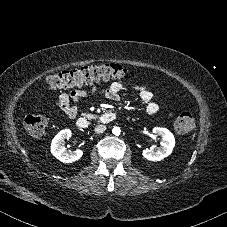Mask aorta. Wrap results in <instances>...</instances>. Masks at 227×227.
<instances>
[{
	"label": "aorta",
	"mask_w": 227,
	"mask_h": 227,
	"mask_svg": "<svg viewBox=\"0 0 227 227\" xmlns=\"http://www.w3.org/2000/svg\"><path fill=\"white\" fill-rule=\"evenodd\" d=\"M112 132H113L114 135H120L121 130H120L119 127H114Z\"/></svg>",
	"instance_id": "1"
}]
</instances>
